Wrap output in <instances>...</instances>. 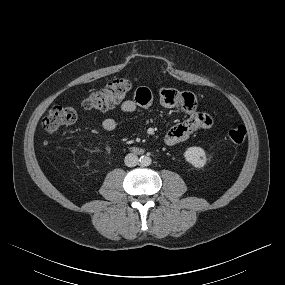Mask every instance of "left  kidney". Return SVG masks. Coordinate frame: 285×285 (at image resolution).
Masks as SVG:
<instances>
[{"label": "left kidney", "mask_w": 285, "mask_h": 285, "mask_svg": "<svg viewBox=\"0 0 285 285\" xmlns=\"http://www.w3.org/2000/svg\"><path fill=\"white\" fill-rule=\"evenodd\" d=\"M184 157L187 162L196 168L203 167L207 161L204 149L196 146L187 148L184 152Z\"/></svg>", "instance_id": "obj_1"}]
</instances>
